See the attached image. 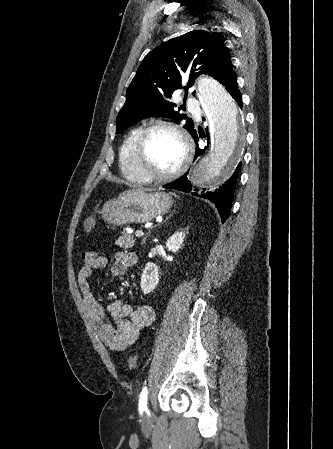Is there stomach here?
Masks as SVG:
<instances>
[{"label": "stomach", "mask_w": 333, "mask_h": 449, "mask_svg": "<svg viewBox=\"0 0 333 449\" xmlns=\"http://www.w3.org/2000/svg\"><path fill=\"white\" fill-rule=\"evenodd\" d=\"M171 197L164 192L146 193L134 190L104 204L101 214L105 222L116 226L130 223H147L168 212Z\"/></svg>", "instance_id": "1"}]
</instances>
